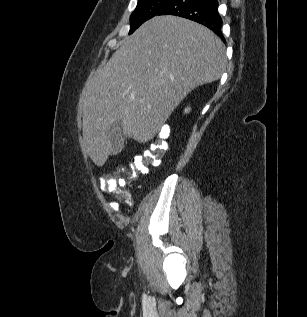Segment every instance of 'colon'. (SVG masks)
<instances>
[{"mask_svg":"<svg viewBox=\"0 0 307 317\" xmlns=\"http://www.w3.org/2000/svg\"><path fill=\"white\" fill-rule=\"evenodd\" d=\"M169 135V127L167 125L161 126L148 149L142 155L133 158L129 169L121 170L124 178L118 181L115 174H104L99 179L101 188L123 201L126 200V192L121 189L120 183H124L125 180L135 179L140 174H147L149 166L158 165L162 156L168 150Z\"/></svg>","mask_w":307,"mask_h":317,"instance_id":"5ec220e1","label":"colon"}]
</instances>
